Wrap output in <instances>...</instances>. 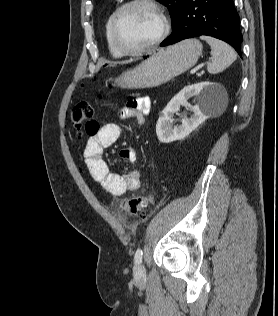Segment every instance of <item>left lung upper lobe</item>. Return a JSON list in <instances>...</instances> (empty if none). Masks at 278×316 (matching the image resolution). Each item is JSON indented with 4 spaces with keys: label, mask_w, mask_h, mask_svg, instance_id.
<instances>
[{
    "label": "left lung upper lobe",
    "mask_w": 278,
    "mask_h": 316,
    "mask_svg": "<svg viewBox=\"0 0 278 316\" xmlns=\"http://www.w3.org/2000/svg\"><path fill=\"white\" fill-rule=\"evenodd\" d=\"M165 5L172 19L173 24L177 22L184 0H157Z\"/></svg>",
    "instance_id": "left-lung-upper-lobe-1"
}]
</instances>
